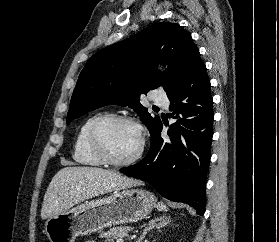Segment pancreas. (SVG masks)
Instances as JSON below:
<instances>
[{"label": "pancreas", "instance_id": "pancreas-1", "mask_svg": "<svg viewBox=\"0 0 279 242\" xmlns=\"http://www.w3.org/2000/svg\"><path fill=\"white\" fill-rule=\"evenodd\" d=\"M131 230L130 226L113 227L108 231L100 233L99 238L105 239V242H114L117 238L128 236V232Z\"/></svg>", "mask_w": 279, "mask_h": 242}]
</instances>
